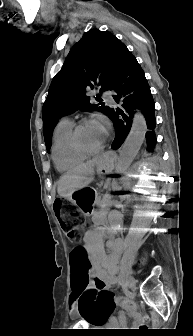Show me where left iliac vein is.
Masks as SVG:
<instances>
[{"mask_svg": "<svg viewBox=\"0 0 193 336\" xmlns=\"http://www.w3.org/2000/svg\"><path fill=\"white\" fill-rule=\"evenodd\" d=\"M126 285H127V288L130 289V290L134 289L135 286H136V280H135V278H134L132 275H130V274H129L128 277H127Z\"/></svg>", "mask_w": 193, "mask_h": 336, "instance_id": "1", "label": "left iliac vein"}]
</instances>
